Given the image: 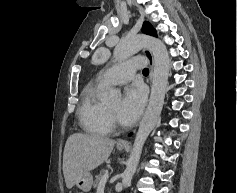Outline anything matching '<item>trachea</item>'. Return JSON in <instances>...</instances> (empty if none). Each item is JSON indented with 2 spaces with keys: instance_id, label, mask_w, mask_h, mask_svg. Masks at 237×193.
<instances>
[{
  "instance_id": "trachea-1",
  "label": "trachea",
  "mask_w": 237,
  "mask_h": 193,
  "mask_svg": "<svg viewBox=\"0 0 237 193\" xmlns=\"http://www.w3.org/2000/svg\"><path fill=\"white\" fill-rule=\"evenodd\" d=\"M143 74L148 75V74H149V69H148V68H144V69H143Z\"/></svg>"
}]
</instances>
